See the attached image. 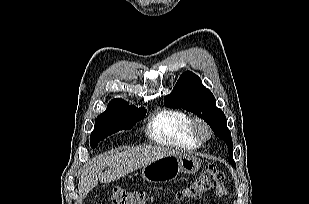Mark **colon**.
<instances>
[{
	"label": "colon",
	"mask_w": 309,
	"mask_h": 204,
	"mask_svg": "<svg viewBox=\"0 0 309 204\" xmlns=\"http://www.w3.org/2000/svg\"><path fill=\"white\" fill-rule=\"evenodd\" d=\"M224 178V173L214 164H209L201 174L181 192L184 199H197L210 188L218 185ZM147 195L143 191L125 188H113L110 201L111 204H145Z\"/></svg>",
	"instance_id": "colon-1"
}]
</instances>
